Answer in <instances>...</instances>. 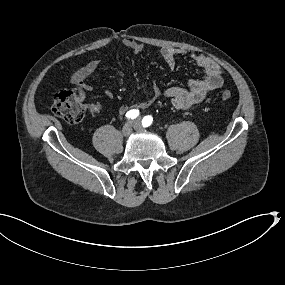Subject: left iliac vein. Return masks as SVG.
I'll return each mask as SVG.
<instances>
[{
  "label": "left iliac vein",
  "mask_w": 285,
  "mask_h": 285,
  "mask_svg": "<svg viewBox=\"0 0 285 285\" xmlns=\"http://www.w3.org/2000/svg\"><path fill=\"white\" fill-rule=\"evenodd\" d=\"M133 124H134L135 130H142L141 125H140V119H139V118L135 119V120L133 121Z\"/></svg>",
  "instance_id": "1"
}]
</instances>
